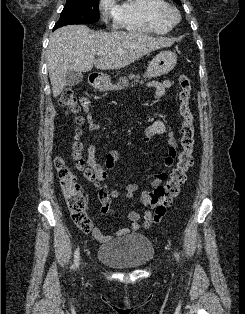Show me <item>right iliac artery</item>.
<instances>
[{
  "label": "right iliac artery",
  "mask_w": 245,
  "mask_h": 314,
  "mask_svg": "<svg viewBox=\"0 0 245 314\" xmlns=\"http://www.w3.org/2000/svg\"><path fill=\"white\" fill-rule=\"evenodd\" d=\"M79 258H80V252H79V248H77L74 254V264H73L74 269H76L79 266Z\"/></svg>",
  "instance_id": "82829eb1"
}]
</instances>
